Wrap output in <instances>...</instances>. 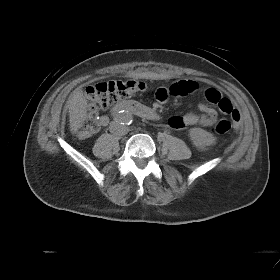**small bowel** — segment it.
Listing matches in <instances>:
<instances>
[{
    "instance_id": "1",
    "label": "small bowel",
    "mask_w": 280,
    "mask_h": 280,
    "mask_svg": "<svg viewBox=\"0 0 280 280\" xmlns=\"http://www.w3.org/2000/svg\"><path fill=\"white\" fill-rule=\"evenodd\" d=\"M198 89V83L193 80H179L169 87H161L156 93V99L159 102H165L170 97L185 96L195 92ZM215 91L221 98H223L220 92L216 89L210 88L205 92V98L210 103H214L212 99L207 95L208 91ZM225 99V98H224ZM228 100V99H227ZM229 101V100H228ZM230 102V101H229ZM215 104V103H214ZM231 110L238 112L230 102ZM199 113H188L183 116H173L169 119V126L175 130H184L195 126L212 127L217 122V112L205 103L199 105ZM223 113L227 114V110L220 108ZM239 113V112H238ZM107 122L106 117L100 119V126L105 125ZM93 131H81L79 133L80 139H86L92 135Z\"/></svg>"
}]
</instances>
